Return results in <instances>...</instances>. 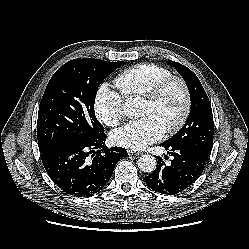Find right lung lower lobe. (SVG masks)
Returning a JSON list of instances; mask_svg holds the SVG:
<instances>
[{
    "label": "right lung lower lobe",
    "mask_w": 249,
    "mask_h": 249,
    "mask_svg": "<svg viewBox=\"0 0 249 249\" xmlns=\"http://www.w3.org/2000/svg\"><path fill=\"white\" fill-rule=\"evenodd\" d=\"M105 140L103 133L97 138L62 143L41 152L45 170L67 194L76 197L94 195L110 180L116 163L128 155L122 147L107 148ZM95 149L99 150L95 152Z\"/></svg>",
    "instance_id": "1"
}]
</instances>
